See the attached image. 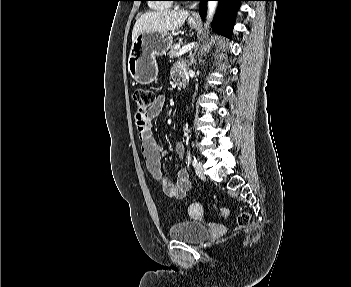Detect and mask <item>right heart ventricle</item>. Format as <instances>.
<instances>
[{"instance_id":"1","label":"right heart ventricle","mask_w":351,"mask_h":287,"mask_svg":"<svg viewBox=\"0 0 351 287\" xmlns=\"http://www.w3.org/2000/svg\"><path fill=\"white\" fill-rule=\"evenodd\" d=\"M163 1L161 0H153L151 1L150 7L153 10H163L167 8V5L162 3Z\"/></svg>"}]
</instances>
